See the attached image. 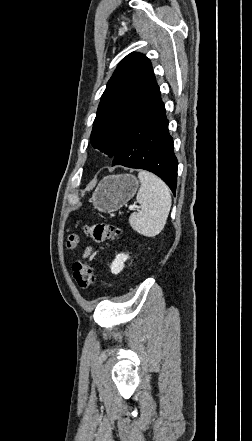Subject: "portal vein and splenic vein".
<instances>
[{
  "mask_svg": "<svg viewBox=\"0 0 252 441\" xmlns=\"http://www.w3.org/2000/svg\"><path fill=\"white\" fill-rule=\"evenodd\" d=\"M135 208H136L135 206H130V207H129V209H130L131 211H132V210H135Z\"/></svg>",
  "mask_w": 252,
  "mask_h": 441,
  "instance_id": "18ae733b",
  "label": "portal vein and splenic vein"
}]
</instances>
